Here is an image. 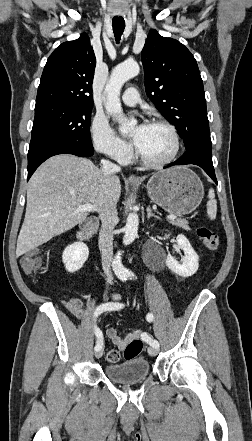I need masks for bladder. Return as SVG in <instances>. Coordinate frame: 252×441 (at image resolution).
<instances>
[{
    "mask_svg": "<svg viewBox=\"0 0 252 441\" xmlns=\"http://www.w3.org/2000/svg\"><path fill=\"white\" fill-rule=\"evenodd\" d=\"M149 362L144 357L126 359L120 363H110L105 366L106 376L117 383H133L142 381L149 374Z\"/></svg>",
    "mask_w": 252,
    "mask_h": 441,
    "instance_id": "obj_1",
    "label": "bladder"
}]
</instances>
